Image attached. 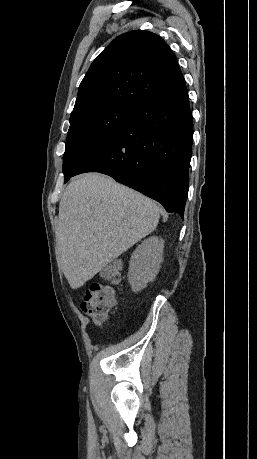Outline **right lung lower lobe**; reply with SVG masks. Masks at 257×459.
Returning a JSON list of instances; mask_svg holds the SVG:
<instances>
[{"instance_id": "98d812e1", "label": "right lung lower lobe", "mask_w": 257, "mask_h": 459, "mask_svg": "<svg viewBox=\"0 0 257 459\" xmlns=\"http://www.w3.org/2000/svg\"><path fill=\"white\" fill-rule=\"evenodd\" d=\"M192 141L193 119L183 77L136 107L129 123L71 176L107 174L183 219Z\"/></svg>"}]
</instances>
